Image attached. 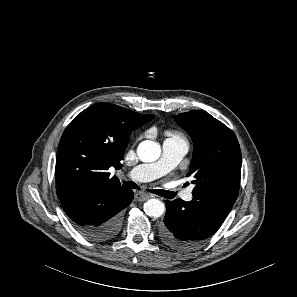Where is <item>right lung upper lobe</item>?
Wrapping results in <instances>:
<instances>
[{"mask_svg":"<svg viewBox=\"0 0 297 297\" xmlns=\"http://www.w3.org/2000/svg\"><path fill=\"white\" fill-rule=\"evenodd\" d=\"M154 115H143L110 103L94 104L65 129L57 150L56 183L62 205L84 189L122 188L107 170L122 167L131 131Z\"/></svg>","mask_w":297,"mask_h":297,"instance_id":"1","label":"right lung upper lobe"}]
</instances>
